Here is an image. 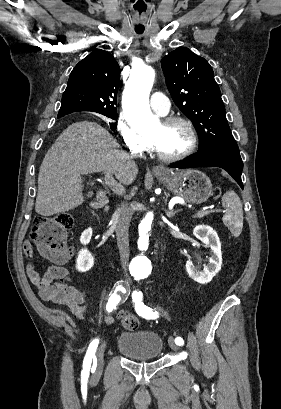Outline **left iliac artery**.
Returning a JSON list of instances; mask_svg holds the SVG:
<instances>
[{"instance_id": "44dca946", "label": "left iliac artery", "mask_w": 281, "mask_h": 409, "mask_svg": "<svg viewBox=\"0 0 281 409\" xmlns=\"http://www.w3.org/2000/svg\"><path fill=\"white\" fill-rule=\"evenodd\" d=\"M133 302L135 303V311L139 316L146 319H155L158 317L157 312H154L151 308L144 305L142 302V293L140 291H134L132 294ZM177 345H183L184 341L181 337L175 339Z\"/></svg>"}]
</instances>
